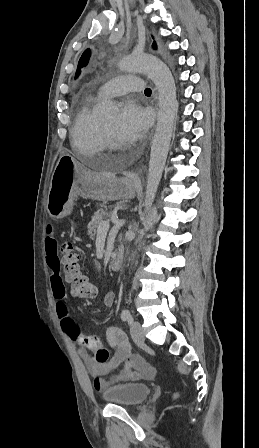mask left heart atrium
I'll list each match as a JSON object with an SVG mask.
<instances>
[{
    "label": "left heart atrium",
    "instance_id": "39dd6f15",
    "mask_svg": "<svg viewBox=\"0 0 259 448\" xmlns=\"http://www.w3.org/2000/svg\"><path fill=\"white\" fill-rule=\"evenodd\" d=\"M149 125L147 110L134 101H126L120 110L116 128L123 138L136 141L142 138Z\"/></svg>",
    "mask_w": 259,
    "mask_h": 448
}]
</instances>
